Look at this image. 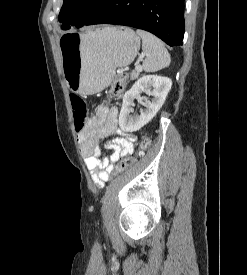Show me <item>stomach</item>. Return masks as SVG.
Segmentation results:
<instances>
[{"instance_id":"stomach-1","label":"stomach","mask_w":247,"mask_h":275,"mask_svg":"<svg viewBox=\"0 0 247 275\" xmlns=\"http://www.w3.org/2000/svg\"><path fill=\"white\" fill-rule=\"evenodd\" d=\"M59 48L68 88L92 95L110 85L116 68L134 61L140 39L130 28L104 27L85 34H64L59 39Z\"/></svg>"}]
</instances>
